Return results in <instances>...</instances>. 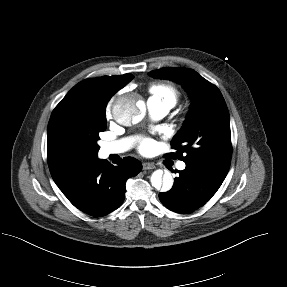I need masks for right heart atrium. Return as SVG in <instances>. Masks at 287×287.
Masks as SVG:
<instances>
[{"label":"right heart atrium","mask_w":287,"mask_h":287,"mask_svg":"<svg viewBox=\"0 0 287 287\" xmlns=\"http://www.w3.org/2000/svg\"><path fill=\"white\" fill-rule=\"evenodd\" d=\"M111 113V102L106 107V115L109 116Z\"/></svg>","instance_id":"d8ad5b80"}]
</instances>
